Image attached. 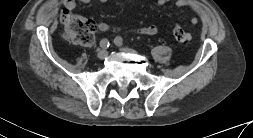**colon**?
I'll list each match as a JSON object with an SVG mask.
<instances>
[{
  "mask_svg": "<svg viewBox=\"0 0 253 138\" xmlns=\"http://www.w3.org/2000/svg\"><path fill=\"white\" fill-rule=\"evenodd\" d=\"M61 21L64 26L65 38L71 43L89 46L94 42L95 23L80 16L63 12ZM174 38L183 44L191 40V34L179 25L172 28Z\"/></svg>",
  "mask_w": 253,
  "mask_h": 138,
  "instance_id": "1",
  "label": "colon"
}]
</instances>
